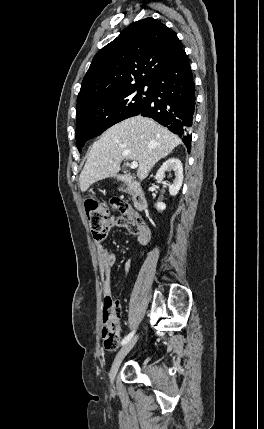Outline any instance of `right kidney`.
<instances>
[{
	"label": "right kidney",
	"instance_id": "ca27d5eb",
	"mask_svg": "<svg viewBox=\"0 0 264 429\" xmlns=\"http://www.w3.org/2000/svg\"><path fill=\"white\" fill-rule=\"evenodd\" d=\"M173 170L175 172V179L173 183L169 184V193L171 196H176L179 192L183 182V165L177 158H170L165 161L156 173V180H163L166 172ZM157 210H165L166 205L163 202L156 204Z\"/></svg>",
	"mask_w": 264,
	"mask_h": 429
}]
</instances>
